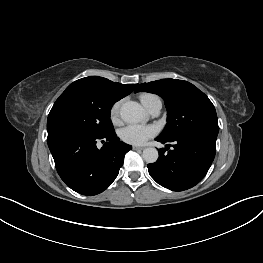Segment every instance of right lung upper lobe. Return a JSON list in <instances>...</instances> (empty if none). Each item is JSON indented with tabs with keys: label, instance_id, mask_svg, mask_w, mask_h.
<instances>
[{
	"label": "right lung upper lobe",
	"instance_id": "cb5924a9",
	"mask_svg": "<svg viewBox=\"0 0 263 263\" xmlns=\"http://www.w3.org/2000/svg\"><path fill=\"white\" fill-rule=\"evenodd\" d=\"M80 84L87 87H91L99 92H102L109 97L120 100L121 98L130 94L138 84H121L114 83L106 78L98 76H90L86 78L79 79L70 85Z\"/></svg>",
	"mask_w": 263,
	"mask_h": 263
}]
</instances>
